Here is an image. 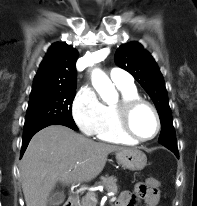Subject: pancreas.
Here are the masks:
<instances>
[{
    "instance_id": "cf45deb5",
    "label": "pancreas",
    "mask_w": 197,
    "mask_h": 206,
    "mask_svg": "<svg viewBox=\"0 0 197 206\" xmlns=\"http://www.w3.org/2000/svg\"><path fill=\"white\" fill-rule=\"evenodd\" d=\"M117 179L113 176L105 177L102 179L100 184H103L105 188L110 191L116 193L118 190L117 187ZM96 195L94 192H88L81 200V206H96Z\"/></svg>"
}]
</instances>
